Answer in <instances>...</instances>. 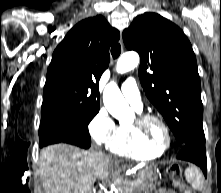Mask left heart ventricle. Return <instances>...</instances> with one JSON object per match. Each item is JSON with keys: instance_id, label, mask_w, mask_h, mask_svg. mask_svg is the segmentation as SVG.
Masks as SVG:
<instances>
[{"instance_id": "1", "label": "left heart ventricle", "mask_w": 221, "mask_h": 193, "mask_svg": "<svg viewBox=\"0 0 221 193\" xmlns=\"http://www.w3.org/2000/svg\"><path fill=\"white\" fill-rule=\"evenodd\" d=\"M150 129H151L153 136L156 138L157 141L161 143L166 142V135H165L163 128L160 126V124H158L157 122H153L151 124Z\"/></svg>"}]
</instances>
